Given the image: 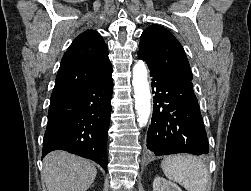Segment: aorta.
<instances>
[{"mask_svg": "<svg viewBox=\"0 0 251 191\" xmlns=\"http://www.w3.org/2000/svg\"><path fill=\"white\" fill-rule=\"evenodd\" d=\"M132 74L135 109L138 115L137 121L140 127H144L151 113L150 86L147 80L148 72L144 62H137V64L133 66Z\"/></svg>", "mask_w": 251, "mask_h": 191, "instance_id": "762f6f07", "label": "aorta"}]
</instances>
